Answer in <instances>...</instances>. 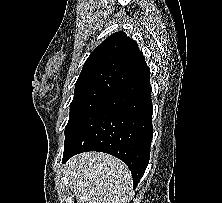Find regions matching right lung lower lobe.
<instances>
[{
  "instance_id": "obj_1",
  "label": "right lung lower lobe",
  "mask_w": 222,
  "mask_h": 203,
  "mask_svg": "<svg viewBox=\"0 0 222 203\" xmlns=\"http://www.w3.org/2000/svg\"><path fill=\"white\" fill-rule=\"evenodd\" d=\"M147 68L66 134L63 162L86 151L109 153L130 169L136 188L150 157L152 100Z\"/></svg>"
}]
</instances>
